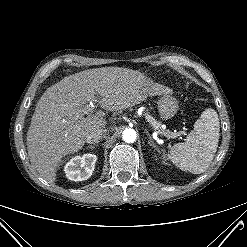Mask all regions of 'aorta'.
Returning a JSON list of instances; mask_svg holds the SVG:
<instances>
[{
	"label": "aorta",
	"instance_id": "1",
	"mask_svg": "<svg viewBox=\"0 0 247 247\" xmlns=\"http://www.w3.org/2000/svg\"><path fill=\"white\" fill-rule=\"evenodd\" d=\"M122 138L126 143H133L137 138L136 131L134 129L127 128L123 131Z\"/></svg>",
	"mask_w": 247,
	"mask_h": 247
}]
</instances>
